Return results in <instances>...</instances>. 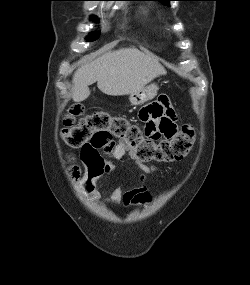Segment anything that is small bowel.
I'll return each instance as SVG.
<instances>
[{
	"label": "small bowel",
	"instance_id": "obj_1",
	"mask_svg": "<svg viewBox=\"0 0 250 285\" xmlns=\"http://www.w3.org/2000/svg\"><path fill=\"white\" fill-rule=\"evenodd\" d=\"M139 118L143 122L142 133L143 136H147V141H168V136H176L178 133L175 124V111L164 97L141 108ZM127 150V145L124 142H119L114 149L113 156L122 159ZM81 160L86 166L82 188L86 193H91L97 197L93 192L96 180L104 173L111 172L113 166L100 156L98 149L93 148L81 149ZM136 163L143 170L142 185L129 191L116 188L108 202L112 204L122 203L125 206L142 205L150 202L151 195L144 183L148 175L153 173L156 168L148 167L137 159Z\"/></svg>",
	"mask_w": 250,
	"mask_h": 285
}]
</instances>
